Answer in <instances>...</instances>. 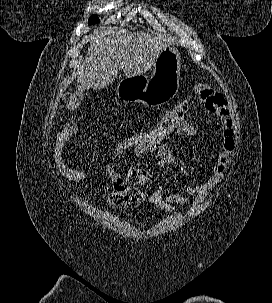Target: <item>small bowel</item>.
<instances>
[{
  "mask_svg": "<svg viewBox=\"0 0 272 303\" xmlns=\"http://www.w3.org/2000/svg\"><path fill=\"white\" fill-rule=\"evenodd\" d=\"M195 92L206 112L221 121V148L218 152L217 161L206 180L194 186H188L185 193L182 194L175 192L169 185H160L148 196V201L162 210H171V205L173 204H186L191 198H193L194 205L203 202L209 191L223 181L226 166L233 156L235 146L233 123L226 97L202 84L196 87ZM195 133L194 127L190 126L178 135L193 136ZM133 152L137 157L148 155L156 161L160 168L175 166L184 175H187L186 170L179 165L170 148L164 144L153 148L137 149ZM106 174L111 180L114 193H129L152 180L150 173L140 168L130 169L124 174L116 170L107 171Z\"/></svg>",
  "mask_w": 272,
  "mask_h": 303,
  "instance_id": "small-bowel-1",
  "label": "small bowel"
}]
</instances>
